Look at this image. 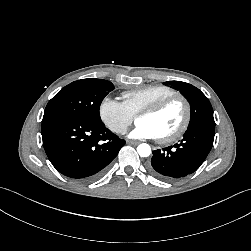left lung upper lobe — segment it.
<instances>
[{
    "instance_id": "obj_1",
    "label": "left lung upper lobe",
    "mask_w": 251,
    "mask_h": 251,
    "mask_svg": "<svg viewBox=\"0 0 251 251\" xmlns=\"http://www.w3.org/2000/svg\"><path fill=\"white\" fill-rule=\"evenodd\" d=\"M167 83L181 90L190 102L191 117L188 127L200 123L215 125L212 106L208 98L198 88L181 81H167Z\"/></svg>"
}]
</instances>
